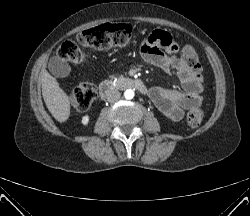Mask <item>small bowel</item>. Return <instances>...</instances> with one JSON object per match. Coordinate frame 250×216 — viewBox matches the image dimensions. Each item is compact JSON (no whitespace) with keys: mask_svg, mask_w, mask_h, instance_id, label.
Instances as JSON below:
<instances>
[{"mask_svg":"<svg viewBox=\"0 0 250 216\" xmlns=\"http://www.w3.org/2000/svg\"><path fill=\"white\" fill-rule=\"evenodd\" d=\"M161 48H166L168 55H164L160 51ZM176 49L173 36L161 30L146 35L141 46V54L146 62L167 73L175 74L180 81L182 89L157 86L149 92L160 112L174 122L182 119L185 110L200 106V94L203 89L202 78L182 67Z\"/></svg>","mask_w":250,"mask_h":216,"instance_id":"small-bowel-1","label":"small bowel"}]
</instances>
